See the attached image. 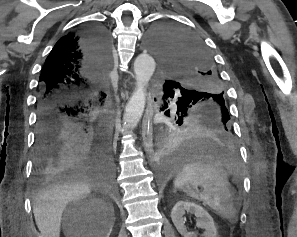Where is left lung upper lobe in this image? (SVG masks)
Listing matches in <instances>:
<instances>
[{"mask_svg": "<svg viewBox=\"0 0 297 237\" xmlns=\"http://www.w3.org/2000/svg\"><path fill=\"white\" fill-rule=\"evenodd\" d=\"M148 42L168 77L165 86L180 90L187 109L218 113L230 126L224 86L202 40L175 25L161 24L150 30Z\"/></svg>", "mask_w": 297, "mask_h": 237, "instance_id": "1", "label": "left lung upper lobe"}]
</instances>
